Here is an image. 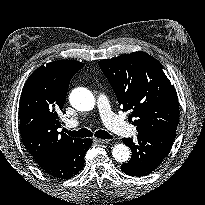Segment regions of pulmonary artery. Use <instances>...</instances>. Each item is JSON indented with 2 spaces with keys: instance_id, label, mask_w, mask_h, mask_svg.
Instances as JSON below:
<instances>
[{
  "instance_id": "1",
  "label": "pulmonary artery",
  "mask_w": 205,
  "mask_h": 205,
  "mask_svg": "<svg viewBox=\"0 0 205 205\" xmlns=\"http://www.w3.org/2000/svg\"><path fill=\"white\" fill-rule=\"evenodd\" d=\"M97 106L100 115L105 125L114 133L119 135H130L134 132L135 128L125 121L120 119L112 110L107 97L104 94H99L97 97ZM77 121L69 122V126H77Z\"/></svg>"
}]
</instances>
